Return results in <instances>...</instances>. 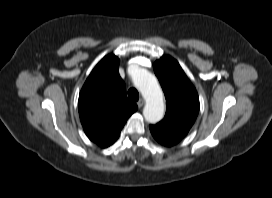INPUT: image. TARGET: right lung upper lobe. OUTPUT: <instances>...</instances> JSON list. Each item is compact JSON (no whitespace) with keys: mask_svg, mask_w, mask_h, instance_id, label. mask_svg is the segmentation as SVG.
I'll return each mask as SVG.
<instances>
[{"mask_svg":"<svg viewBox=\"0 0 272 198\" xmlns=\"http://www.w3.org/2000/svg\"><path fill=\"white\" fill-rule=\"evenodd\" d=\"M119 59L104 57L93 69L79 94L80 120L88 138L105 148L113 144L137 105L127 99L119 75Z\"/></svg>","mask_w":272,"mask_h":198,"instance_id":"obj_1","label":"right lung upper lobe"}]
</instances>
